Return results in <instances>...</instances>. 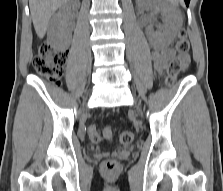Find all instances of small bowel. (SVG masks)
Here are the masks:
<instances>
[{"label":"small bowel","instance_id":"small-bowel-1","mask_svg":"<svg viewBox=\"0 0 223 191\" xmlns=\"http://www.w3.org/2000/svg\"><path fill=\"white\" fill-rule=\"evenodd\" d=\"M175 55V51L172 48H157L152 53V62L154 69L157 72H162L168 61ZM182 68L185 69L190 61L189 55L181 56L180 58Z\"/></svg>","mask_w":223,"mask_h":191}]
</instances>
